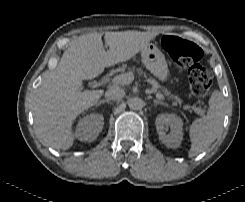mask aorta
<instances>
[{
    "mask_svg": "<svg viewBox=\"0 0 245 202\" xmlns=\"http://www.w3.org/2000/svg\"><path fill=\"white\" fill-rule=\"evenodd\" d=\"M128 106L132 110H140L143 108L144 102L141 98L133 97L129 99Z\"/></svg>",
    "mask_w": 245,
    "mask_h": 202,
    "instance_id": "762f6f07",
    "label": "aorta"
}]
</instances>
